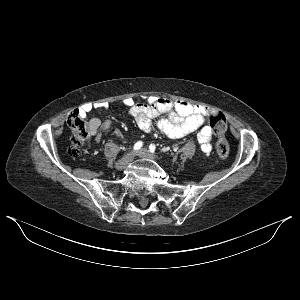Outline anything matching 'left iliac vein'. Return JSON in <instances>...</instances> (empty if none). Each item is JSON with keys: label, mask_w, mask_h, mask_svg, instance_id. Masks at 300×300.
Here are the masks:
<instances>
[{"label": "left iliac vein", "mask_w": 300, "mask_h": 300, "mask_svg": "<svg viewBox=\"0 0 300 300\" xmlns=\"http://www.w3.org/2000/svg\"><path fill=\"white\" fill-rule=\"evenodd\" d=\"M137 155L144 159L155 160V158L146 149H141L137 152Z\"/></svg>", "instance_id": "4c4485c4"}]
</instances>
